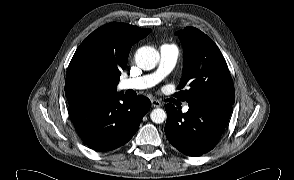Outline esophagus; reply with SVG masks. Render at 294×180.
Returning a JSON list of instances; mask_svg holds the SVG:
<instances>
[{
  "mask_svg": "<svg viewBox=\"0 0 294 180\" xmlns=\"http://www.w3.org/2000/svg\"><path fill=\"white\" fill-rule=\"evenodd\" d=\"M151 105L152 107H160L162 104L160 101L154 99V100H151Z\"/></svg>",
  "mask_w": 294,
  "mask_h": 180,
  "instance_id": "obj_1",
  "label": "esophagus"
}]
</instances>
